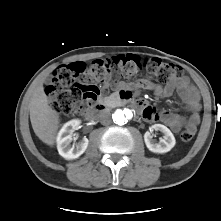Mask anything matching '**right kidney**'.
Returning a JSON list of instances; mask_svg holds the SVG:
<instances>
[{
	"label": "right kidney",
	"instance_id": "ca27d5eb",
	"mask_svg": "<svg viewBox=\"0 0 221 221\" xmlns=\"http://www.w3.org/2000/svg\"><path fill=\"white\" fill-rule=\"evenodd\" d=\"M81 121L79 119H74L68 121L63 125L57 136V148L59 154L66 160H73L81 156L88 147V139L83 138L80 144L73 145L71 147L70 143L72 141V134L80 125Z\"/></svg>",
	"mask_w": 221,
	"mask_h": 221
}]
</instances>
